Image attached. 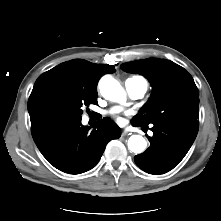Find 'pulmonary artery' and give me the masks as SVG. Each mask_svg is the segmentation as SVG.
Returning <instances> with one entry per match:
<instances>
[{
  "instance_id": "e3ab8cb5",
  "label": "pulmonary artery",
  "mask_w": 221,
  "mask_h": 221,
  "mask_svg": "<svg viewBox=\"0 0 221 221\" xmlns=\"http://www.w3.org/2000/svg\"><path fill=\"white\" fill-rule=\"evenodd\" d=\"M125 88L131 99H141L147 91V82L139 78H130L125 81Z\"/></svg>"
}]
</instances>
